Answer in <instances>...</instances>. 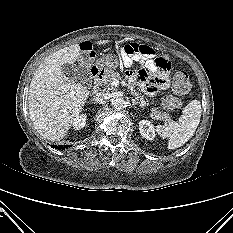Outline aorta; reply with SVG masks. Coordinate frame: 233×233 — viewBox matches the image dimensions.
I'll list each match as a JSON object with an SVG mask.
<instances>
[{
    "label": "aorta",
    "instance_id": "aorta-1",
    "mask_svg": "<svg viewBox=\"0 0 233 233\" xmlns=\"http://www.w3.org/2000/svg\"><path fill=\"white\" fill-rule=\"evenodd\" d=\"M126 104H127V102L123 97H115L112 100V105L117 110H121V109L125 108Z\"/></svg>",
    "mask_w": 233,
    "mask_h": 233
}]
</instances>
